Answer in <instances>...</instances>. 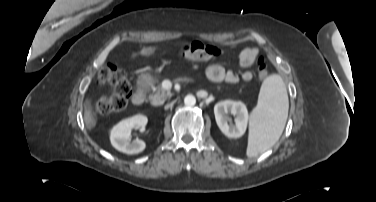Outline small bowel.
<instances>
[{"label": "small bowel", "mask_w": 376, "mask_h": 202, "mask_svg": "<svg viewBox=\"0 0 376 202\" xmlns=\"http://www.w3.org/2000/svg\"><path fill=\"white\" fill-rule=\"evenodd\" d=\"M258 55V50L256 48H246L244 49L239 57V63L243 68L250 67L255 61ZM205 74L207 78L213 82H227L236 83L239 80L250 81L252 79V73L245 70L240 76L235 74L231 70H225V68L219 64H211L205 68Z\"/></svg>", "instance_id": "c3829d8e"}]
</instances>
